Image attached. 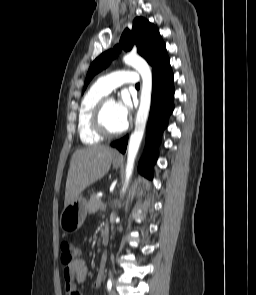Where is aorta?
<instances>
[{
	"label": "aorta",
	"mask_w": 256,
	"mask_h": 295,
	"mask_svg": "<svg viewBox=\"0 0 256 295\" xmlns=\"http://www.w3.org/2000/svg\"><path fill=\"white\" fill-rule=\"evenodd\" d=\"M125 64L135 68L142 78L140 105L136 116L135 129L132 133L127 150L126 185L132 175L134 162L144 135L152 92V72L147 62L137 54L129 53L124 56ZM124 190V189H123Z\"/></svg>",
	"instance_id": "762f6f07"
}]
</instances>
